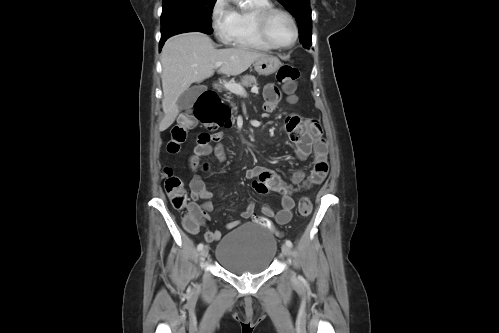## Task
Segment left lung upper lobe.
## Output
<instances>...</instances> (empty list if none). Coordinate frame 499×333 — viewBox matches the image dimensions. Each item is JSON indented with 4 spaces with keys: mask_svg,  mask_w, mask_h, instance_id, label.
Instances as JSON below:
<instances>
[{
    "mask_svg": "<svg viewBox=\"0 0 499 333\" xmlns=\"http://www.w3.org/2000/svg\"><path fill=\"white\" fill-rule=\"evenodd\" d=\"M296 19L299 28V39L303 46L312 45V19L310 0H278Z\"/></svg>",
    "mask_w": 499,
    "mask_h": 333,
    "instance_id": "5c2ea615",
    "label": "left lung upper lobe"
}]
</instances>
